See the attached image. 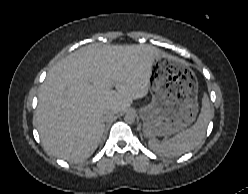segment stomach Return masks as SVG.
<instances>
[{"label": "stomach", "instance_id": "1", "mask_svg": "<svg viewBox=\"0 0 248 194\" xmlns=\"http://www.w3.org/2000/svg\"><path fill=\"white\" fill-rule=\"evenodd\" d=\"M152 102L140 109L147 138L168 136L190 126L198 113V82L181 60L166 54L154 59Z\"/></svg>", "mask_w": 248, "mask_h": 194}]
</instances>
